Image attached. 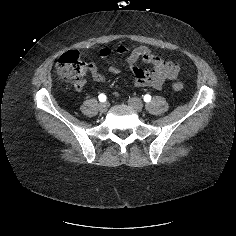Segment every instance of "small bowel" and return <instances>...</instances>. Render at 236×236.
Returning <instances> with one entry per match:
<instances>
[{"label":"small bowel","mask_w":236,"mask_h":236,"mask_svg":"<svg viewBox=\"0 0 236 236\" xmlns=\"http://www.w3.org/2000/svg\"><path fill=\"white\" fill-rule=\"evenodd\" d=\"M114 52L125 56L124 62L134 75L135 86L161 89L165 81L174 80L179 74V66L176 63L163 58L159 53L147 46L129 49L125 45H120L115 51L110 48H103L100 50V56L108 57ZM139 60L143 61L147 66H151V68L136 67L135 64ZM120 70L119 66L114 65L108 69V73L117 74ZM89 71L94 81L102 82L105 80V75L99 70L95 61L89 63ZM81 87L82 85L77 88L81 89Z\"/></svg>","instance_id":"c3829d8e"}]
</instances>
